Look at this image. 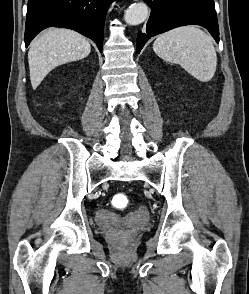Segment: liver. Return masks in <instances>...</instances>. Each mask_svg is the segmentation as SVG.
<instances>
[{
  "mask_svg": "<svg viewBox=\"0 0 249 294\" xmlns=\"http://www.w3.org/2000/svg\"><path fill=\"white\" fill-rule=\"evenodd\" d=\"M90 51L89 42L73 30L51 28L44 31L28 52L32 88L36 89L55 67L83 59Z\"/></svg>",
  "mask_w": 249,
  "mask_h": 294,
  "instance_id": "obj_1",
  "label": "liver"
}]
</instances>
